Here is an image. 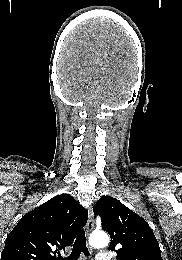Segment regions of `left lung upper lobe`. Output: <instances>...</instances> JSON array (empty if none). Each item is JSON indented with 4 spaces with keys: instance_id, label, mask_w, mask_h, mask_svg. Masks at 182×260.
<instances>
[{
    "instance_id": "5c2ea615",
    "label": "left lung upper lobe",
    "mask_w": 182,
    "mask_h": 260,
    "mask_svg": "<svg viewBox=\"0 0 182 260\" xmlns=\"http://www.w3.org/2000/svg\"><path fill=\"white\" fill-rule=\"evenodd\" d=\"M102 220L117 260H162L158 241L148 223L119 200L103 196L93 207Z\"/></svg>"
}]
</instances>
